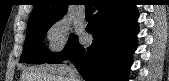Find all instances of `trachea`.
Returning a JSON list of instances; mask_svg holds the SVG:
<instances>
[{"instance_id": "1", "label": "trachea", "mask_w": 169, "mask_h": 81, "mask_svg": "<svg viewBox=\"0 0 169 81\" xmlns=\"http://www.w3.org/2000/svg\"><path fill=\"white\" fill-rule=\"evenodd\" d=\"M85 9L86 10H92L93 9V3L91 1L85 2Z\"/></svg>"}]
</instances>
